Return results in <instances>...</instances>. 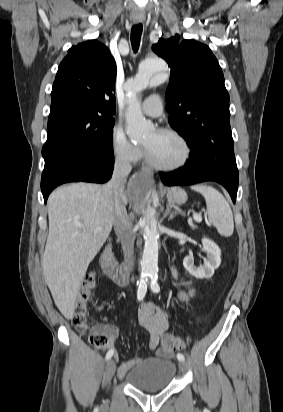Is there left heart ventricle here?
I'll list each match as a JSON object with an SVG mask.
<instances>
[{"label":"left heart ventricle","mask_w":283,"mask_h":412,"mask_svg":"<svg viewBox=\"0 0 283 412\" xmlns=\"http://www.w3.org/2000/svg\"><path fill=\"white\" fill-rule=\"evenodd\" d=\"M151 158L160 165L170 166L180 162L184 156V148L174 136L152 131L143 141Z\"/></svg>","instance_id":"1"}]
</instances>
